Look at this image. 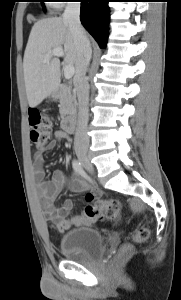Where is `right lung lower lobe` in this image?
<instances>
[{
	"instance_id": "98d812e1",
	"label": "right lung lower lobe",
	"mask_w": 181,
	"mask_h": 300,
	"mask_svg": "<svg viewBox=\"0 0 181 300\" xmlns=\"http://www.w3.org/2000/svg\"><path fill=\"white\" fill-rule=\"evenodd\" d=\"M81 2L80 20L88 32L104 48L108 38L110 0H79Z\"/></svg>"
}]
</instances>
